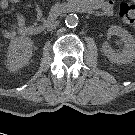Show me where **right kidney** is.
I'll return each instance as SVG.
<instances>
[{
    "mask_svg": "<svg viewBox=\"0 0 135 135\" xmlns=\"http://www.w3.org/2000/svg\"><path fill=\"white\" fill-rule=\"evenodd\" d=\"M33 42L30 38H14L8 47L6 66L10 72H17L24 67L32 56Z\"/></svg>",
    "mask_w": 135,
    "mask_h": 135,
    "instance_id": "ca27d5eb",
    "label": "right kidney"
}]
</instances>
